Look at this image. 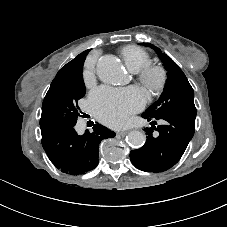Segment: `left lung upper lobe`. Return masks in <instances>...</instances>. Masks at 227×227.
I'll return each mask as SVG.
<instances>
[{
  "label": "left lung upper lobe",
  "instance_id": "obj_1",
  "mask_svg": "<svg viewBox=\"0 0 227 227\" xmlns=\"http://www.w3.org/2000/svg\"><path fill=\"white\" fill-rule=\"evenodd\" d=\"M156 51L167 71V81L160 98L144 113L152 117L177 114L189 118H196L194 105V91L183 71L166 54L150 43H142Z\"/></svg>",
  "mask_w": 227,
  "mask_h": 227
}]
</instances>
